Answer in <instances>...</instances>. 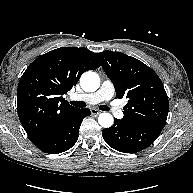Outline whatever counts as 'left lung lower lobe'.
Instances as JSON below:
<instances>
[{
  "label": "left lung lower lobe",
  "instance_id": "0a47b994",
  "mask_svg": "<svg viewBox=\"0 0 193 193\" xmlns=\"http://www.w3.org/2000/svg\"><path fill=\"white\" fill-rule=\"evenodd\" d=\"M164 123L127 125L119 119L102 131L105 142L123 153H137L151 145L162 131Z\"/></svg>",
  "mask_w": 193,
  "mask_h": 193
}]
</instances>
